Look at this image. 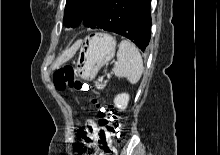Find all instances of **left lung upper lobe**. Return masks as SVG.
<instances>
[{"label": "left lung upper lobe", "mask_w": 220, "mask_h": 155, "mask_svg": "<svg viewBox=\"0 0 220 155\" xmlns=\"http://www.w3.org/2000/svg\"><path fill=\"white\" fill-rule=\"evenodd\" d=\"M98 0H67L64 11V25L75 27L79 25L87 12Z\"/></svg>", "instance_id": "5c2ea615"}]
</instances>
